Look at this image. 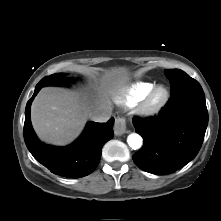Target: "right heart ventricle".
I'll use <instances>...</instances> for the list:
<instances>
[{"label": "right heart ventricle", "instance_id": "right-heart-ventricle-1", "mask_svg": "<svg viewBox=\"0 0 221 221\" xmlns=\"http://www.w3.org/2000/svg\"><path fill=\"white\" fill-rule=\"evenodd\" d=\"M154 87L155 84L152 82L137 81L128 87L120 102L127 106H133L141 102Z\"/></svg>", "mask_w": 221, "mask_h": 221}]
</instances>
